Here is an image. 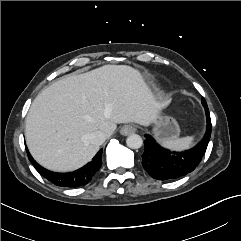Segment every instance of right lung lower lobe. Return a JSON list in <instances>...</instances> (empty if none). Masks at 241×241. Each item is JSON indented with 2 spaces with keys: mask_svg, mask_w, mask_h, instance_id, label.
<instances>
[{
  "mask_svg": "<svg viewBox=\"0 0 241 241\" xmlns=\"http://www.w3.org/2000/svg\"><path fill=\"white\" fill-rule=\"evenodd\" d=\"M27 154L28 158L35 167V169L45 178L50 180L55 185L63 186V187H80L86 185L92 177L96 174L99 168L102 165V149L94 156L91 162L86 164L84 167L80 168L71 173H55L46 170L45 168L41 167L30 155L28 149Z\"/></svg>",
  "mask_w": 241,
  "mask_h": 241,
  "instance_id": "obj_1",
  "label": "right lung lower lobe"
}]
</instances>
